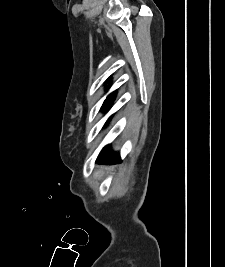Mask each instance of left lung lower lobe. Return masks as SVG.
<instances>
[{"label":"left lung lower lobe","mask_w":225,"mask_h":267,"mask_svg":"<svg viewBox=\"0 0 225 267\" xmlns=\"http://www.w3.org/2000/svg\"><path fill=\"white\" fill-rule=\"evenodd\" d=\"M97 161L99 163H104V164H113V163H118L121 160L118 154L112 153L110 145H107L101 151L100 155L97 158Z\"/></svg>","instance_id":"1"}]
</instances>
